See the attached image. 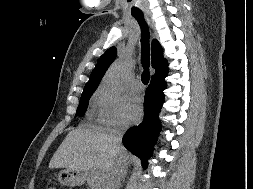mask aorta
<instances>
[{
  "mask_svg": "<svg viewBox=\"0 0 253 189\" xmlns=\"http://www.w3.org/2000/svg\"><path fill=\"white\" fill-rule=\"evenodd\" d=\"M128 70L126 61H120L113 65L104 81V87L107 91L118 93L122 90L124 77Z\"/></svg>",
  "mask_w": 253,
  "mask_h": 189,
  "instance_id": "aorta-1",
  "label": "aorta"
}]
</instances>
